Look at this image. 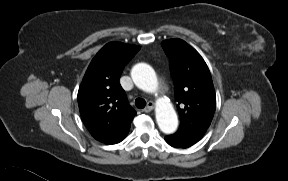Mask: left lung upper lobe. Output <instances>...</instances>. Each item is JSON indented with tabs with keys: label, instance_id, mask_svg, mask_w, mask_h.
Here are the masks:
<instances>
[{
	"label": "left lung upper lobe",
	"instance_id": "obj_1",
	"mask_svg": "<svg viewBox=\"0 0 288 181\" xmlns=\"http://www.w3.org/2000/svg\"><path fill=\"white\" fill-rule=\"evenodd\" d=\"M161 44L169 57L174 79L181 120L178 131L206 132L215 112L216 95L205 61L181 39H169Z\"/></svg>",
	"mask_w": 288,
	"mask_h": 181
}]
</instances>
